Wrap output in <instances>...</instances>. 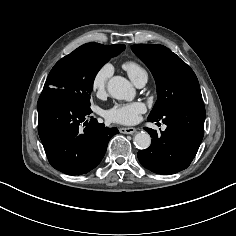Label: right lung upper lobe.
Instances as JSON below:
<instances>
[{"label": "right lung upper lobe", "instance_id": "obj_1", "mask_svg": "<svg viewBox=\"0 0 236 236\" xmlns=\"http://www.w3.org/2000/svg\"><path fill=\"white\" fill-rule=\"evenodd\" d=\"M80 47H102V48L110 49L118 54L121 53L125 49V46L123 44L102 45V44H98V43H87V44H84Z\"/></svg>", "mask_w": 236, "mask_h": 236}]
</instances>
